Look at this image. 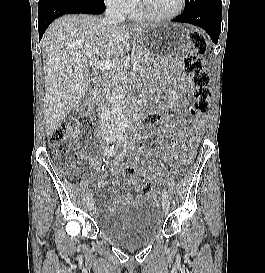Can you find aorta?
I'll return each mask as SVG.
<instances>
[{
  "label": "aorta",
  "instance_id": "aorta-1",
  "mask_svg": "<svg viewBox=\"0 0 265 273\" xmlns=\"http://www.w3.org/2000/svg\"><path fill=\"white\" fill-rule=\"evenodd\" d=\"M124 101L122 86H117L112 91L110 97L111 113L116 125L121 126L125 123L126 117L124 115Z\"/></svg>",
  "mask_w": 265,
  "mask_h": 273
}]
</instances>
